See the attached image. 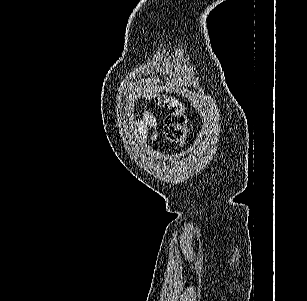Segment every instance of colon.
I'll use <instances>...</instances> for the list:
<instances>
[{"mask_svg": "<svg viewBox=\"0 0 307 301\" xmlns=\"http://www.w3.org/2000/svg\"><path fill=\"white\" fill-rule=\"evenodd\" d=\"M156 101L168 109L164 121L166 138L171 142L183 144L187 139L185 106L174 98H161Z\"/></svg>", "mask_w": 307, "mask_h": 301, "instance_id": "5ec220e1", "label": "colon"}]
</instances>
